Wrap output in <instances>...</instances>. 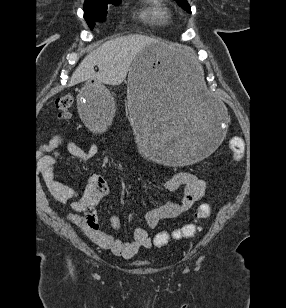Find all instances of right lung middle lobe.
<instances>
[{
  "label": "right lung middle lobe",
  "instance_id": "right-lung-middle-lobe-1",
  "mask_svg": "<svg viewBox=\"0 0 286 308\" xmlns=\"http://www.w3.org/2000/svg\"><path fill=\"white\" fill-rule=\"evenodd\" d=\"M121 0L88 1L84 5V18L92 29L94 22L103 21L107 14V5H118Z\"/></svg>",
  "mask_w": 286,
  "mask_h": 308
}]
</instances>
